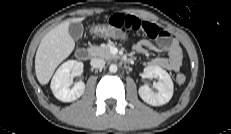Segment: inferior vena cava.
I'll list each match as a JSON object with an SVG mask.
<instances>
[{"label": "inferior vena cava", "mask_w": 231, "mask_h": 134, "mask_svg": "<svg viewBox=\"0 0 231 134\" xmlns=\"http://www.w3.org/2000/svg\"><path fill=\"white\" fill-rule=\"evenodd\" d=\"M93 68H103L105 66V61L100 58H94L90 62Z\"/></svg>", "instance_id": "obj_1"}]
</instances>
